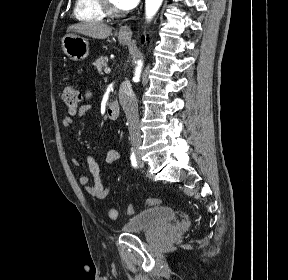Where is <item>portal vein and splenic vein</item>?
Masks as SVG:
<instances>
[{"label": "portal vein and splenic vein", "mask_w": 288, "mask_h": 280, "mask_svg": "<svg viewBox=\"0 0 288 280\" xmlns=\"http://www.w3.org/2000/svg\"><path fill=\"white\" fill-rule=\"evenodd\" d=\"M104 72H105L106 74H108V73H110V69L106 67V68L104 69Z\"/></svg>", "instance_id": "1"}]
</instances>
